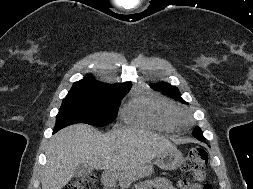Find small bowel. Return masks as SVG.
<instances>
[{"instance_id":"obj_1","label":"small bowel","mask_w":253,"mask_h":189,"mask_svg":"<svg viewBox=\"0 0 253 189\" xmlns=\"http://www.w3.org/2000/svg\"><path fill=\"white\" fill-rule=\"evenodd\" d=\"M174 189L170 181L166 178H158L154 181L145 183L139 187V189ZM191 189H199L198 186L194 185Z\"/></svg>"}]
</instances>
